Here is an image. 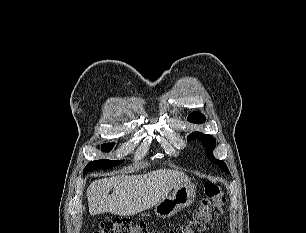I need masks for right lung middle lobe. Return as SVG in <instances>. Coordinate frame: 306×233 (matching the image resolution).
<instances>
[{
    "mask_svg": "<svg viewBox=\"0 0 306 233\" xmlns=\"http://www.w3.org/2000/svg\"><path fill=\"white\" fill-rule=\"evenodd\" d=\"M113 146H114V143L103 144L102 145V149L104 151H110ZM122 162H123V160H120V161H110V160H104V159L98 160V161H91L84 168L83 175L87 174L89 171H92V170L108 169V168L114 167L117 164H120Z\"/></svg>",
    "mask_w": 306,
    "mask_h": 233,
    "instance_id": "obj_1",
    "label": "right lung middle lobe"
}]
</instances>
